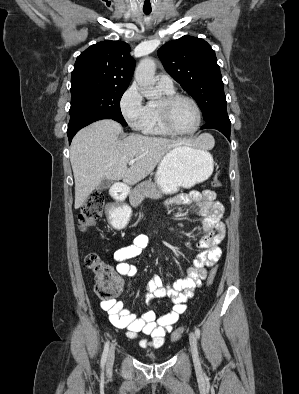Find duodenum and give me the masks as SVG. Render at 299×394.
I'll return each mask as SVG.
<instances>
[{"mask_svg":"<svg viewBox=\"0 0 299 394\" xmlns=\"http://www.w3.org/2000/svg\"><path fill=\"white\" fill-rule=\"evenodd\" d=\"M127 192V188L123 184H119L117 187H115L112 190V196L117 199L121 200L124 195ZM117 205L116 204H111L108 207V218L110 221H116L117 220Z\"/></svg>","mask_w":299,"mask_h":394,"instance_id":"410a0bca","label":"duodenum"}]
</instances>
